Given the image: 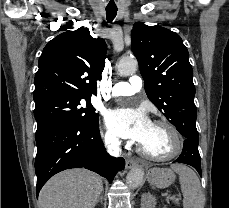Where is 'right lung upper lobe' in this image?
I'll return each instance as SVG.
<instances>
[{
	"label": "right lung upper lobe",
	"mask_w": 229,
	"mask_h": 208,
	"mask_svg": "<svg viewBox=\"0 0 229 208\" xmlns=\"http://www.w3.org/2000/svg\"><path fill=\"white\" fill-rule=\"evenodd\" d=\"M106 51L105 41L91 37L84 27L52 39L39 58L34 101L57 94L97 95L96 80L101 78Z\"/></svg>",
	"instance_id": "right-lung-upper-lobe-1"
}]
</instances>
